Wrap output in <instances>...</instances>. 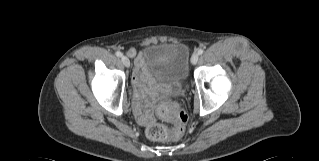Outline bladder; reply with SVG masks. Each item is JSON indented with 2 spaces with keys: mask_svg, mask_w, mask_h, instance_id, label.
I'll use <instances>...</instances> for the list:
<instances>
[{
  "mask_svg": "<svg viewBox=\"0 0 319 161\" xmlns=\"http://www.w3.org/2000/svg\"><path fill=\"white\" fill-rule=\"evenodd\" d=\"M146 75L169 83L185 81L189 75L190 51L180 43L148 44L140 53Z\"/></svg>",
  "mask_w": 319,
  "mask_h": 161,
  "instance_id": "obj_1",
  "label": "bladder"
}]
</instances>
